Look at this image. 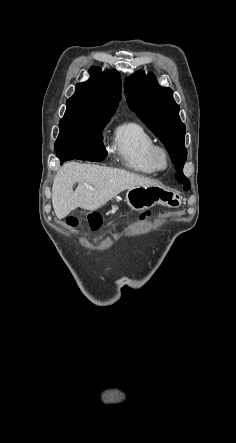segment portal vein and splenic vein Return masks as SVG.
Listing matches in <instances>:
<instances>
[{
	"label": "portal vein and splenic vein",
	"instance_id": "1",
	"mask_svg": "<svg viewBox=\"0 0 236 443\" xmlns=\"http://www.w3.org/2000/svg\"><path fill=\"white\" fill-rule=\"evenodd\" d=\"M86 187H87V188H89V189H92V187H91V186H89V185H86Z\"/></svg>",
	"mask_w": 236,
	"mask_h": 443
}]
</instances>
